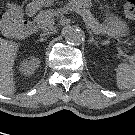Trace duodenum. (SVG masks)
I'll return each instance as SVG.
<instances>
[{
    "label": "duodenum",
    "instance_id": "obj_1",
    "mask_svg": "<svg viewBox=\"0 0 135 135\" xmlns=\"http://www.w3.org/2000/svg\"><path fill=\"white\" fill-rule=\"evenodd\" d=\"M33 22L31 20H23L15 23L14 21H5L3 23L4 33L14 38H21L30 33L33 29Z\"/></svg>",
    "mask_w": 135,
    "mask_h": 135
}]
</instances>
